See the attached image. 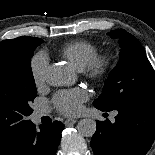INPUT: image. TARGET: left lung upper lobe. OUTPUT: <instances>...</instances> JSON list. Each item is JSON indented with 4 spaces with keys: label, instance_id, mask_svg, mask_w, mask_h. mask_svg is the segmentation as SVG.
Here are the masks:
<instances>
[{
    "label": "left lung upper lobe",
    "instance_id": "5c2ea615",
    "mask_svg": "<svg viewBox=\"0 0 155 155\" xmlns=\"http://www.w3.org/2000/svg\"><path fill=\"white\" fill-rule=\"evenodd\" d=\"M108 34L119 39L120 59L94 106L110 111L136 99L155 96V73L139 41L124 29Z\"/></svg>",
    "mask_w": 155,
    "mask_h": 155
}]
</instances>
